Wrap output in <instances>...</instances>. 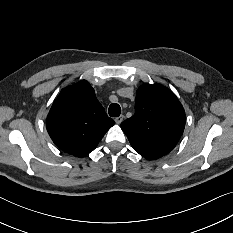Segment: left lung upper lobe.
Here are the masks:
<instances>
[{"instance_id": "1", "label": "left lung upper lobe", "mask_w": 233, "mask_h": 233, "mask_svg": "<svg viewBox=\"0 0 233 233\" xmlns=\"http://www.w3.org/2000/svg\"><path fill=\"white\" fill-rule=\"evenodd\" d=\"M185 121L184 109L170 89L144 84L136 93L135 114L121 128L140 155L157 159L174 149Z\"/></svg>"}]
</instances>
